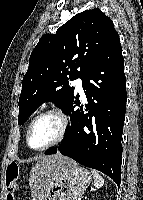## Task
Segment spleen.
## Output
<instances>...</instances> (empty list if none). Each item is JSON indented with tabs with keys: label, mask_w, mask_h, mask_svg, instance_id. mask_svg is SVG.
Segmentation results:
<instances>
[{
	"label": "spleen",
	"mask_w": 143,
	"mask_h": 200,
	"mask_svg": "<svg viewBox=\"0 0 143 200\" xmlns=\"http://www.w3.org/2000/svg\"><path fill=\"white\" fill-rule=\"evenodd\" d=\"M91 172L94 179V186L97 188L102 187L104 185L103 177L95 170H92Z\"/></svg>",
	"instance_id": "obj_1"
}]
</instances>
